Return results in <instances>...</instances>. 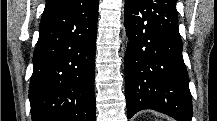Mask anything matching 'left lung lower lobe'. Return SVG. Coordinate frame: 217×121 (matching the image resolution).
<instances>
[{"instance_id": "1", "label": "left lung lower lobe", "mask_w": 217, "mask_h": 121, "mask_svg": "<svg viewBox=\"0 0 217 121\" xmlns=\"http://www.w3.org/2000/svg\"><path fill=\"white\" fill-rule=\"evenodd\" d=\"M124 22L130 41L125 60L128 118L153 109L178 121H191L176 0H125Z\"/></svg>"}]
</instances>
